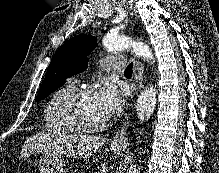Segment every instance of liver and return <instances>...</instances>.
Masks as SVG:
<instances>
[{
  "label": "liver",
  "instance_id": "liver-1",
  "mask_svg": "<svg viewBox=\"0 0 219 173\" xmlns=\"http://www.w3.org/2000/svg\"><path fill=\"white\" fill-rule=\"evenodd\" d=\"M105 139L98 136L70 135L64 138H53L49 134L38 133L29 138L22 147L21 155L28 157L33 152H56L74 158H89L100 147Z\"/></svg>",
  "mask_w": 219,
  "mask_h": 173
}]
</instances>
